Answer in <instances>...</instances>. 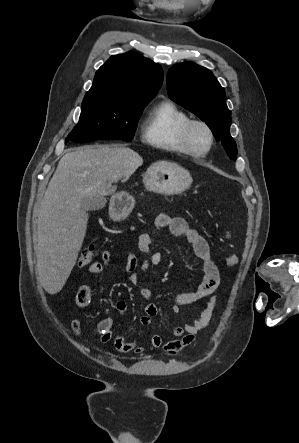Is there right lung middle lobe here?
I'll return each mask as SVG.
<instances>
[{
	"label": "right lung middle lobe",
	"instance_id": "right-lung-middle-lobe-1",
	"mask_svg": "<svg viewBox=\"0 0 299 443\" xmlns=\"http://www.w3.org/2000/svg\"><path fill=\"white\" fill-rule=\"evenodd\" d=\"M148 103V101L84 97L79 123L67 136L65 143L69 141L85 143L100 139L131 141L142 108Z\"/></svg>",
	"mask_w": 299,
	"mask_h": 443
}]
</instances>
